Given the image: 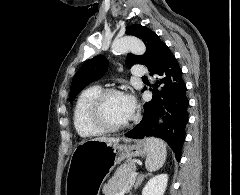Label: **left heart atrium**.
Here are the masks:
<instances>
[{
  "instance_id": "39dd6f15",
  "label": "left heart atrium",
  "mask_w": 240,
  "mask_h": 195,
  "mask_svg": "<svg viewBox=\"0 0 240 195\" xmlns=\"http://www.w3.org/2000/svg\"><path fill=\"white\" fill-rule=\"evenodd\" d=\"M123 100L125 103L128 117H129V119H131L134 116L135 110H136L135 99L133 98L132 95L126 94L123 96Z\"/></svg>"
}]
</instances>
